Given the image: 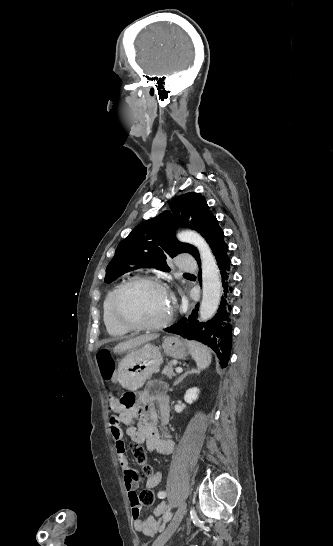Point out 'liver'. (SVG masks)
Returning <instances> with one entry per match:
<instances>
[{
    "mask_svg": "<svg viewBox=\"0 0 333 546\" xmlns=\"http://www.w3.org/2000/svg\"><path fill=\"white\" fill-rule=\"evenodd\" d=\"M159 335H142L135 337L133 339H129L127 341L121 342L118 345H116L113 349L114 353H123L126 351H131L133 349H136L142 344H145L149 341H152L156 338H158Z\"/></svg>",
    "mask_w": 333,
    "mask_h": 546,
    "instance_id": "obj_1",
    "label": "liver"
}]
</instances>
